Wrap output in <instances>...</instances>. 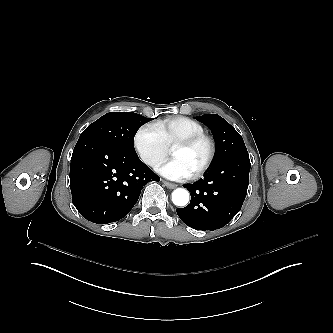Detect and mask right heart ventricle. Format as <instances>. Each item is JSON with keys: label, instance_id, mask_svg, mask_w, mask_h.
<instances>
[{"label": "right heart ventricle", "instance_id": "right-heart-ventricle-1", "mask_svg": "<svg viewBox=\"0 0 333 333\" xmlns=\"http://www.w3.org/2000/svg\"><path fill=\"white\" fill-rule=\"evenodd\" d=\"M157 127L168 148L185 138L204 134V128L201 124L184 116L169 117L161 121Z\"/></svg>", "mask_w": 333, "mask_h": 333}]
</instances>
